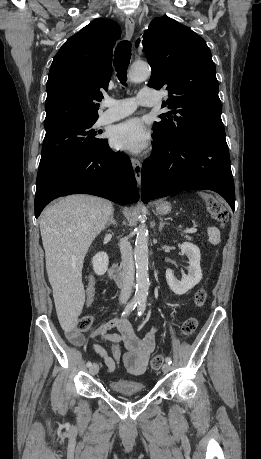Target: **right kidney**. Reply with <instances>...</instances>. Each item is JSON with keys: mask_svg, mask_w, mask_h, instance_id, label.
<instances>
[{"mask_svg": "<svg viewBox=\"0 0 261 459\" xmlns=\"http://www.w3.org/2000/svg\"><path fill=\"white\" fill-rule=\"evenodd\" d=\"M94 272L101 276L104 275L108 269L109 258L106 252H98L92 258Z\"/></svg>", "mask_w": 261, "mask_h": 459, "instance_id": "1", "label": "right kidney"}]
</instances>
